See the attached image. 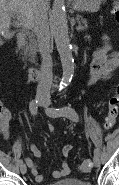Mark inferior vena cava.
<instances>
[{
  "mask_svg": "<svg viewBox=\"0 0 119 185\" xmlns=\"http://www.w3.org/2000/svg\"><path fill=\"white\" fill-rule=\"evenodd\" d=\"M33 31L37 37L38 49L42 58L40 80L37 86V97L50 99L52 70L50 68L52 49L46 9V0H41L34 17Z\"/></svg>",
  "mask_w": 119,
  "mask_h": 185,
  "instance_id": "obj_1",
  "label": "inferior vena cava"
}]
</instances>
